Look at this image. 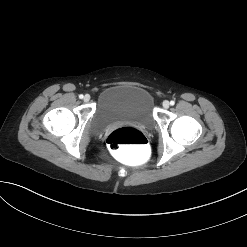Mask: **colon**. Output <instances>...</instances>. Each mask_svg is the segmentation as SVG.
Here are the masks:
<instances>
[{"mask_svg":"<svg viewBox=\"0 0 247 247\" xmlns=\"http://www.w3.org/2000/svg\"><path fill=\"white\" fill-rule=\"evenodd\" d=\"M107 145L122 161L134 166H145L152 159V148L145 135L132 127L112 131L107 137Z\"/></svg>","mask_w":247,"mask_h":247,"instance_id":"1","label":"colon"}]
</instances>
